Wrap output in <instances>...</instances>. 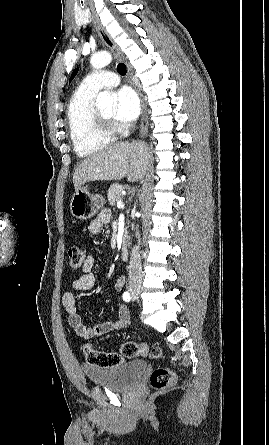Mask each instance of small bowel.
Wrapping results in <instances>:
<instances>
[{
	"label": "small bowel",
	"instance_id": "c3829d8e",
	"mask_svg": "<svg viewBox=\"0 0 269 445\" xmlns=\"http://www.w3.org/2000/svg\"><path fill=\"white\" fill-rule=\"evenodd\" d=\"M110 218L109 211H102L97 218L91 221L89 231L92 234H99L103 226ZM95 267V258L88 256L81 268V275L72 281L71 287L73 291H67L62 296V304L68 315V324L76 332L77 335L85 339H91L101 336L112 330L121 329L130 323V313L128 308L120 303L118 305V316L115 319H106L104 322L88 327L84 324L77 306L74 292H86L94 288L96 284V275L93 272ZM126 284V278L120 276L114 284V291L119 292Z\"/></svg>",
	"mask_w": 269,
	"mask_h": 445
}]
</instances>
